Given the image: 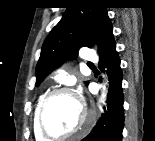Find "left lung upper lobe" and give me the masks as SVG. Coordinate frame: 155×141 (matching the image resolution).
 I'll return each instance as SVG.
<instances>
[{
  "label": "left lung upper lobe",
  "instance_id": "obj_1",
  "mask_svg": "<svg viewBox=\"0 0 155 141\" xmlns=\"http://www.w3.org/2000/svg\"><path fill=\"white\" fill-rule=\"evenodd\" d=\"M102 0H73L62 20L45 39L36 65V84L66 59L74 58L82 46L94 42L103 49L113 35V26Z\"/></svg>",
  "mask_w": 155,
  "mask_h": 141
}]
</instances>
